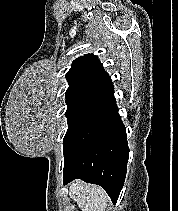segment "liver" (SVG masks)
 Masks as SVG:
<instances>
[{"label": "liver", "instance_id": "obj_1", "mask_svg": "<svg viewBox=\"0 0 178 211\" xmlns=\"http://www.w3.org/2000/svg\"><path fill=\"white\" fill-rule=\"evenodd\" d=\"M70 197L81 211H105L109 197L99 186L76 180L70 185Z\"/></svg>", "mask_w": 178, "mask_h": 211}]
</instances>
